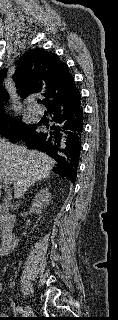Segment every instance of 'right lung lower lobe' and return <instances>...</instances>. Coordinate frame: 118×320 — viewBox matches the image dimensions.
<instances>
[{
    "label": "right lung lower lobe",
    "instance_id": "right-lung-lower-lobe-1",
    "mask_svg": "<svg viewBox=\"0 0 118 320\" xmlns=\"http://www.w3.org/2000/svg\"><path fill=\"white\" fill-rule=\"evenodd\" d=\"M51 116L47 129H37L22 138L28 148L45 152L56 160L54 172L73 183L77 169L83 136V107L81 94L76 88L70 94L47 104Z\"/></svg>",
    "mask_w": 118,
    "mask_h": 320
}]
</instances>
